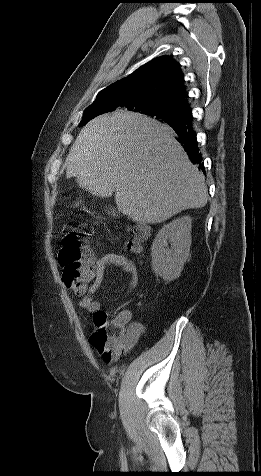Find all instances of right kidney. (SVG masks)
Returning <instances> with one entry per match:
<instances>
[{"label": "right kidney", "mask_w": 261, "mask_h": 476, "mask_svg": "<svg viewBox=\"0 0 261 476\" xmlns=\"http://www.w3.org/2000/svg\"><path fill=\"white\" fill-rule=\"evenodd\" d=\"M168 242L171 247H168ZM191 246V218L184 216L164 225L156 235L152 247V270L166 281L180 276L189 257Z\"/></svg>", "instance_id": "right-kidney-1"}]
</instances>
